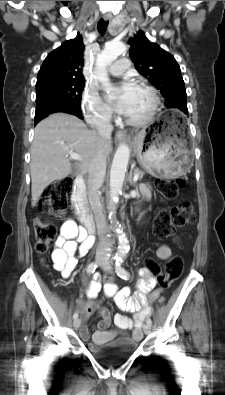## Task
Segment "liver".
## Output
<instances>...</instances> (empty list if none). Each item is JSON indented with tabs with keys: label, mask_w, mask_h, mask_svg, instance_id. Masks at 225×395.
<instances>
[{
	"label": "liver",
	"mask_w": 225,
	"mask_h": 395,
	"mask_svg": "<svg viewBox=\"0 0 225 395\" xmlns=\"http://www.w3.org/2000/svg\"><path fill=\"white\" fill-rule=\"evenodd\" d=\"M99 150L108 157L112 151L111 139L101 138L96 131L88 130L76 116L55 113L39 122L31 146L32 206L36 205L47 186L72 172L69 152L81 156L76 173L85 174Z\"/></svg>",
	"instance_id": "1"
}]
</instances>
